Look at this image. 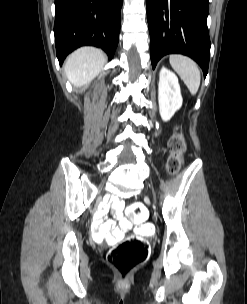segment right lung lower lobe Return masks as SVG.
<instances>
[{"mask_svg":"<svg viewBox=\"0 0 247 304\" xmlns=\"http://www.w3.org/2000/svg\"><path fill=\"white\" fill-rule=\"evenodd\" d=\"M123 0H55V45L60 65L84 45L103 49L112 59L119 40Z\"/></svg>","mask_w":247,"mask_h":304,"instance_id":"1","label":"right lung lower lobe"}]
</instances>
